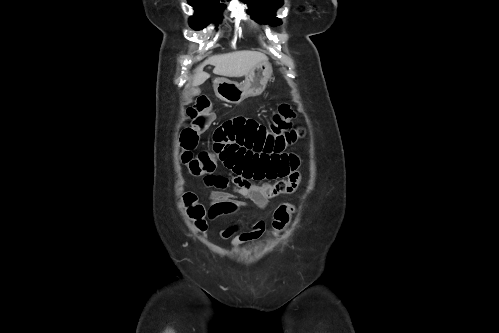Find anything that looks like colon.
<instances>
[{"label":"colon","instance_id":"1","mask_svg":"<svg viewBox=\"0 0 499 333\" xmlns=\"http://www.w3.org/2000/svg\"><path fill=\"white\" fill-rule=\"evenodd\" d=\"M211 102L206 97H200L197 102L188 110L192 118L191 125L185 127L181 132V162L187 167L193 175L211 173L216 166V156L212 151H203L195 155L200 133L204 131L210 121L209 114ZM295 113L289 104H281L273 114L269 123V130L275 135H282L292 128V121ZM184 203L188 215L193 220L196 227L200 230L206 227V211L201 203L198 202L196 195L187 193L184 195ZM295 212L293 204H281L274 212L273 226L276 231H281L288 226Z\"/></svg>","mask_w":499,"mask_h":333}]
</instances>
